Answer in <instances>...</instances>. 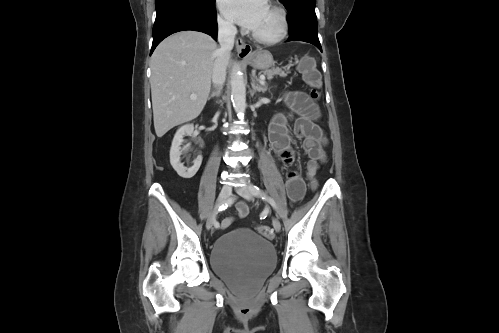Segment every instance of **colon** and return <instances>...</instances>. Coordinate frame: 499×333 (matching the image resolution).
Returning a JSON list of instances; mask_svg holds the SVG:
<instances>
[{"mask_svg":"<svg viewBox=\"0 0 499 333\" xmlns=\"http://www.w3.org/2000/svg\"><path fill=\"white\" fill-rule=\"evenodd\" d=\"M299 70L303 75L305 82L311 87L310 97L312 100L317 101L320 98V89L322 87V77L320 72L316 69L314 61L309 57H304L299 63ZM319 171V163L309 160L306 167L307 177L312 187H316V176ZM258 232L266 238L273 237L272 231L268 226L258 225Z\"/></svg>","mask_w":499,"mask_h":333,"instance_id":"obj_1","label":"colon"}]
</instances>
